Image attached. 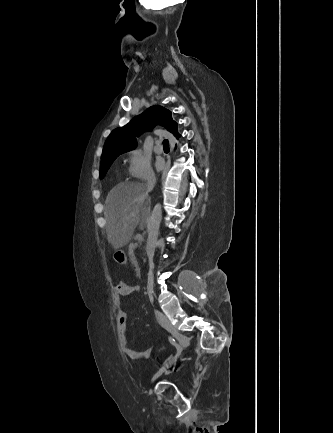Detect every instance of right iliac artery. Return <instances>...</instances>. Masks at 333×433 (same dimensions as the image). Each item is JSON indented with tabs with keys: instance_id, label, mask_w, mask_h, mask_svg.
I'll list each match as a JSON object with an SVG mask.
<instances>
[{
	"instance_id": "right-iliac-artery-1",
	"label": "right iliac artery",
	"mask_w": 333,
	"mask_h": 433,
	"mask_svg": "<svg viewBox=\"0 0 333 433\" xmlns=\"http://www.w3.org/2000/svg\"><path fill=\"white\" fill-rule=\"evenodd\" d=\"M169 342L173 345V346H177V343L175 341V339L171 336L168 337Z\"/></svg>"
}]
</instances>
